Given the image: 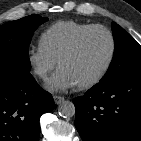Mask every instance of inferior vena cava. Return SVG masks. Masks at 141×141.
<instances>
[{
	"label": "inferior vena cava",
	"instance_id": "602c4592",
	"mask_svg": "<svg viewBox=\"0 0 141 141\" xmlns=\"http://www.w3.org/2000/svg\"><path fill=\"white\" fill-rule=\"evenodd\" d=\"M37 73L40 74V75H42V74H44V70H42V69H37Z\"/></svg>",
	"mask_w": 141,
	"mask_h": 141
}]
</instances>
